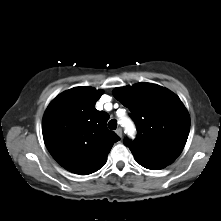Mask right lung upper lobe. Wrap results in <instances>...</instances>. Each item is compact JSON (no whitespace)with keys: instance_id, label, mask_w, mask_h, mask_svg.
Here are the masks:
<instances>
[{"instance_id":"cb5924a9","label":"right lung upper lobe","mask_w":221,"mask_h":221,"mask_svg":"<svg viewBox=\"0 0 221 221\" xmlns=\"http://www.w3.org/2000/svg\"><path fill=\"white\" fill-rule=\"evenodd\" d=\"M102 90L75 87L58 95L43 117V138L53 158L80 175L99 170L120 138L109 131V115L95 109Z\"/></svg>"}]
</instances>
